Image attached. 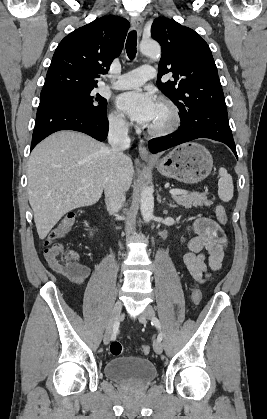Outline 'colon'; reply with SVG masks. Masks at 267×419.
<instances>
[{
  "mask_svg": "<svg viewBox=\"0 0 267 419\" xmlns=\"http://www.w3.org/2000/svg\"><path fill=\"white\" fill-rule=\"evenodd\" d=\"M216 217L221 225L227 223V214L223 206L216 207ZM76 215L69 213L65 215L58 224L51 230L45 241L44 256L52 269L66 276L76 277L80 275L84 267L78 262V255L75 251L69 250L59 242L73 227ZM202 299V292L199 287H195L192 292V302L198 305ZM144 355L149 354L150 347L142 345L140 347ZM109 353L113 356H120L123 353V345L120 341H113L109 346Z\"/></svg>",
  "mask_w": 267,
  "mask_h": 419,
  "instance_id": "1",
  "label": "colon"
}]
</instances>
